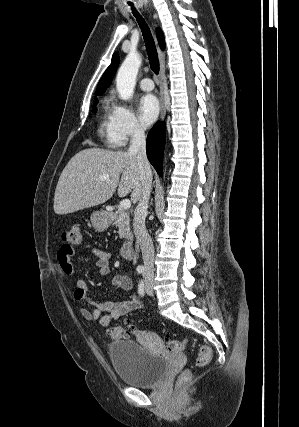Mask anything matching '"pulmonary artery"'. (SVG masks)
I'll use <instances>...</instances> for the list:
<instances>
[{"mask_svg": "<svg viewBox=\"0 0 299 427\" xmlns=\"http://www.w3.org/2000/svg\"><path fill=\"white\" fill-rule=\"evenodd\" d=\"M139 86L144 91H151L154 88L153 81L148 77L143 78L140 81Z\"/></svg>", "mask_w": 299, "mask_h": 427, "instance_id": "obj_1", "label": "pulmonary artery"}]
</instances>
